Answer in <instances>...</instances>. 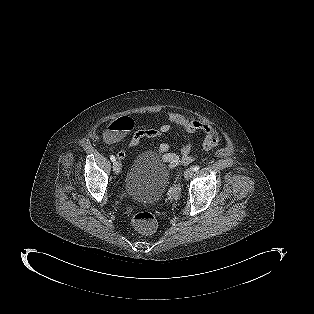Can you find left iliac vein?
Instances as JSON below:
<instances>
[{"label":"left iliac vein","instance_id":"1","mask_svg":"<svg viewBox=\"0 0 314 314\" xmlns=\"http://www.w3.org/2000/svg\"><path fill=\"white\" fill-rule=\"evenodd\" d=\"M193 173H194L193 168L186 169L184 172V178L186 180H189L193 176Z\"/></svg>","mask_w":314,"mask_h":314}]
</instances>
